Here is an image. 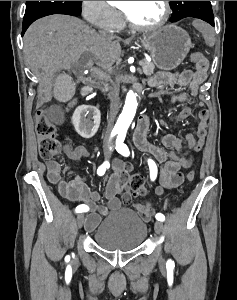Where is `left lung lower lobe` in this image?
Here are the masks:
<instances>
[{"mask_svg":"<svg viewBox=\"0 0 237 300\" xmlns=\"http://www.w3.org/2000/svg\"><path fill=\"white\" fill-rule=\"evenodd\" d=\"M206 22L210 23L212 26H214V18L208 19Z\"/></svg>","mask_w":237,"mask_h":300,"instance_id":"left-lung-lower-lobe-1","label":"left lung lower lobe"}]
</instances>
